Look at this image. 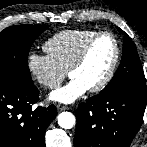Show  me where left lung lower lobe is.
Masks as SVG:
<instances>
[{"instance_id":"0a47b994","label":"left lung lower lobe","mask_w":147,"mask_h":147,"mask_svg":"<svg viewBox=\"0 0 147 147\" xmlns=\"http://www.w3.org/2000/svg\"><path fill=\"white\" fill-rule=\"evenodd\" d=\"M146 101L145 91L124 89L79 104L75 147H129L141 127Z\"/></svg>"}]
</instances>
